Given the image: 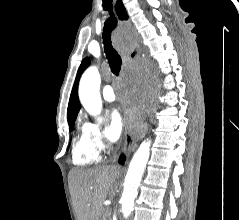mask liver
I'll return each instance as SVG.
<instances>
[{
	"instance_id": "1",
	"label": "liver",
	"mask_w": 239,
	"mask_h": 220,
	"mask_svg": "<svg viewBox=\"0 0 239 220\" xmlns=\"http://www.w3.org/2000/svg\"><path fill=\"white\" fill-rule=\"evenodd\" d=\"M120 172L114 166L73 169L69 183L77 220H101L103 203L113 192Z\"/></svg>"
}]
</instances>
